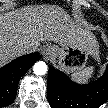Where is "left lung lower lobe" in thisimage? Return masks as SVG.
Here are the masks:
<instances>
[{"label": "left lung lower lobe", "instance_id": "1", "mask_svg": "<svg viewBox=\"0 0 108 108\" xmlns=\"http://www.w3.org/2000/svg\"><path fill=\"white\" fill-rule=\"evenodd\" d=\"M108 69L97 81L80 85L63 72L49 69L48 100L54 108H98L108 99Z\"/></svg>", "mask_w": 108, "mask_h": 108}]
</instances>
